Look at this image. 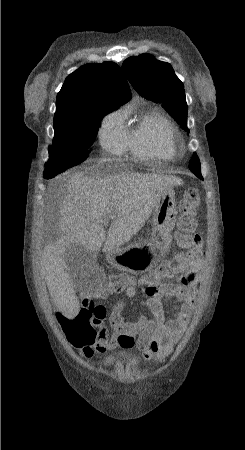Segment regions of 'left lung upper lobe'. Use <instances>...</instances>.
<instances>
[{
    "instance_id": "5c2ea615",
    "label": "left lung upper lobe",
    "mask_w": 245,
    "mask_h": 450,
    "mask_svg": "<svg viewBox=\"0 0 245 450\" xmlns=\"http://www.w3.org/2000/svg\"><path fill=\"white\" fill-rule=\"evenodd\" d=\"M122 69L141 96L162 103L177 123L189 132L184 86L169 63L157 61L152 55L142 54L126 59ZM189 168L198 178L203 179L196 154L192 156Z\"/></svg>"
}]
</instances>
